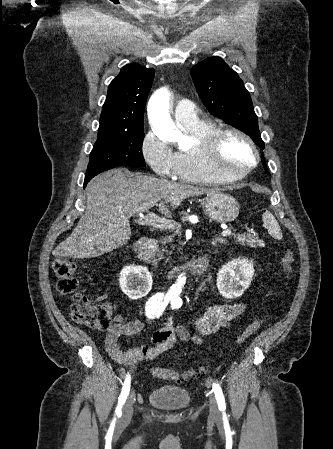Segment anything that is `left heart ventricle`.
Here are the masks:
<instances>
[{
  "label": "left heart ventricle",
  "instance_id": "obj_1",
  "mask_svg": "<svg viewBox=\"0 0 333 449\" xmlns=\"http://www.w3.org/2000/svg\"><path fill=\"white\" fill-rule=\"evenodd\" d=\"M253 161L254 154L245 142L236 137H229L224 141L219 159L222 169L240 172Z\"/></svg>",
  "mask_w": 333,
  "mask_h": 449
}]
</instances>
